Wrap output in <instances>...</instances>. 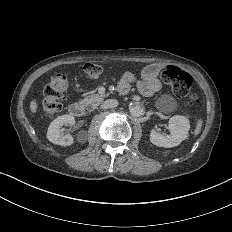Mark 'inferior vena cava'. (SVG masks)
Returning a JSON list of instances; mask_svg holds the SVG:
<instances>
[{
    "label": "inferior vena cava",
    "mask_w": 232,
    "mask_h": 232,
    "mask_svg": "<svg viewBox=\"0 0 232 232\" xmlns=\"http://www.w3.org/2000/svg\"><path fill=\"white\" fill-rule=\"evenodd\" d=\"M117 106H118V101L116 99H108L104 101L101 105V107L104 109L115 108Z\"/></svg>",
    "instance_id": "obj_1"
}]
</instances>
